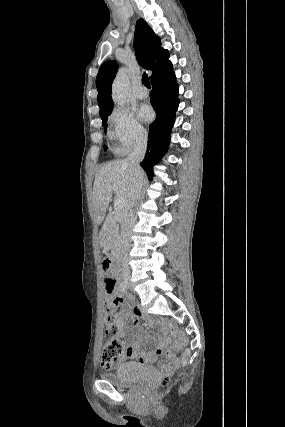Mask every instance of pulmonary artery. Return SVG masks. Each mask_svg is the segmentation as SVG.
<instances>
[{
	"label": "pulmonary artery",
	"instance_id": "e3ab8cb5",
	"mask_svg": "<svg viewBox=\"0 0 285 427\" xmlns=\"http://www.w3.org/2000/svg\"><path fill=\"white\" fill-rule=\"evenodd\" d=\"M135 95L138 99H145L148 97V91L147 89L140 87L136 90Z\"/></svg>",
	"mask_w": 285,
	"mask_h": 427
}]
</instances>
